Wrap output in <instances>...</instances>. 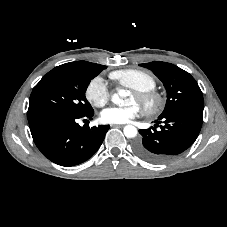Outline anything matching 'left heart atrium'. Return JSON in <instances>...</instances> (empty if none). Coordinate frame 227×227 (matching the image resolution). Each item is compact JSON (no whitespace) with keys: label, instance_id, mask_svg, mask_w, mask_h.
Segmentation results:
<instances>
[{"label":"left heart atrium","instance_id":"39dd6f15","mask_svg":"<svg viewBox=\"0 0 227 227\" xmlns=\"http://www.w3.org/2000/svg\"><path fill=\"white\" fill-rule=\"evenodd\" d=\"M140 108L137 105L126 107H109L101 112V120L108 124H124L137 117Z\"/></svg>","mask_w":227,"mask_h":227}]
</instances>
